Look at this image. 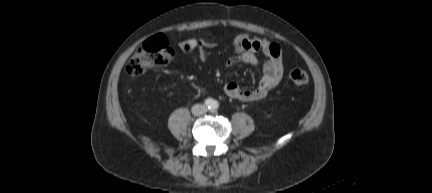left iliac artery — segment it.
Wrapping results in <instances>:
<instances>
[{
	"mask_svg": "<svg viewBox=\"0 0 432 193\" xmlns=\"http://www.w3.org/2000/svg\"><path fill=\"white\" fill-rule=\"evenodd\" d=\"M211 108H212V111H216L219 108V103L217 101H213Z\"/></svg>",
	"mask_w": 432,
	"mask_h": 193,
	"instance_id": "1",
	"label": "left iliac artery"
}]
</instances>
